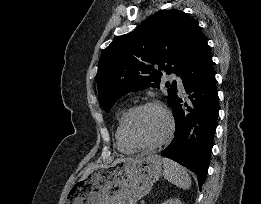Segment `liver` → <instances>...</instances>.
I'll return each mask as SVG.
<instances>
[{
	"label": "liver",
	"instance_id": "liver-1",
	"mask_svg": "<svg viewBox=\"0 0 261 204\" xmlns=\"http://www.w3.org/2000/svg\"><path fill=\"white\" fill-rule=\"evenodd\" d=\"M126 159H131V158L117 159V160H115L114 162H118V161H120V160H126ZM98 167H99V165H96V164L90 165V166L86 169V171L84 172L82 179H84L89 173H91L94 169H96V168H98Z\"/></svg>",
	"mask_w": 261,
	"mask_h": 204
}]
</instances>
